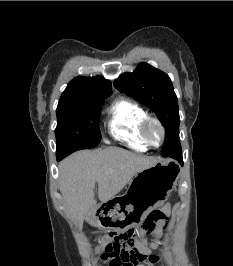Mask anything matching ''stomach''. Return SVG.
I'll return each mask as SVG.
<instances>
[{
  "label": "stomach",
  "mask_w": 233,
  "mask_h": 266,
  "mask_svg": "<svg viewBox=\"0 0 233 266\" xmlns=\"http://www.w3.org/2000/svg\"><path fill=\"white\" fill-rule=\"evenodd\" d=\"M168 166H175V161H160L138 172L130 183L132 188L108 199V204H100L101 212L92 216L95 224L112 228V232H132V228H140L144 216L163 204L172 185H176L180 167Z\"/></svg>",
  "instance_id": "1"
}]
</instances>
